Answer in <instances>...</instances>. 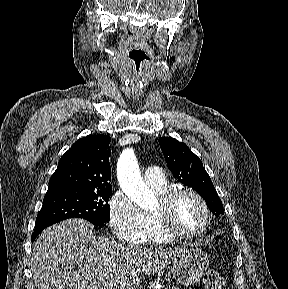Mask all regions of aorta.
<instances>
[{
    "mask_svg": "<svg viewBox=\"0 0 288 289\" xmlns=\"http://www.w3.org/2000/svg\"><path fill=\"white\" fill-rule=\"evenodd\" d=\"M117 177L121 189L132 202L144 210L155 207L156 197L142 180L133 149L127 148L120 155Z\"/></svg>",
    "mask_w": 288,
    "mask_h": 289,
    "instance_id": "obj_1",
    "label": "aorta"
}]
</instances>
